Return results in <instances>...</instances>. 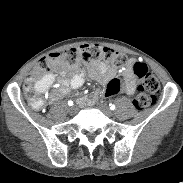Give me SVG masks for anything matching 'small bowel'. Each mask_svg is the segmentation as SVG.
Instances as JSON below:
<instances>
[{
  "mask_svg": "<svg viewBox=\"0 0 183 183\" xmlns=\"http://www.w3.org/2000/svg\"><path fill=\"white\" fill-rule=\"evenodd\" d=\"M135 62V60H131L123 72L125 85L121 91H124L129 95L134 93L137 84L136 75L133 70V64ZM61 74L65 75L64 72H61ZM115 75L116 70L105 63L97 64L93 71L82 69L79 73L74 74L68 82H62L57 90L53 92L51 99L57 100L58 98L67 95L70 89L80 88L84 83L85 77L87 76L100 84H108L111 80H113Z\"/></svg>",
  "mask_w": 183,
  "mask_h": 183,
  "instance_id": "obj_1",
  "label": "small bowel"
}]
</instances>
